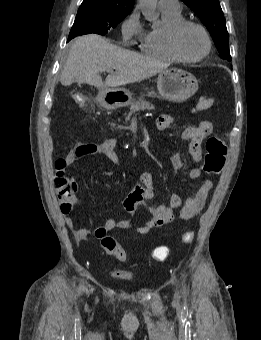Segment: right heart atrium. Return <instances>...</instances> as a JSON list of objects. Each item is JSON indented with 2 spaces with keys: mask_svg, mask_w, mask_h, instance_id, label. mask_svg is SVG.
<instances>
[{
  "mask_svg": "<svg viewBox=\"0 0 261 340\" xmlns=\"http://www.w3.org/2000/svg\"><path fill=\"white\" fill-rule=\"evenodd\" d=\"M122 34L126 40L132 37L140 36L142 33V26L140 23V13L138 9H134L126 17L122 23Z\"/></svg>",
  "mask_w": 261,
  "mask_h": 340,
  "instance_id": "d8ad5b80",
  "label": "right heart atrium"
}]
</instances>
